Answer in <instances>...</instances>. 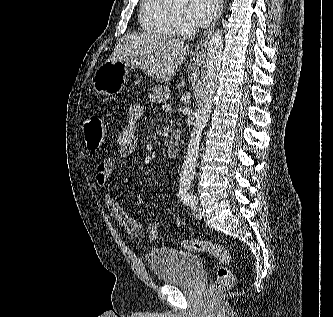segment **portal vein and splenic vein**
I'll list each match as a JSON object with an SVG mask.
<instances>
[{"label": "portal vein and splenic vein", "mask_w": 333, "mask_h": 317, "mask_svg": "<svg viewBox=\"0 0 333 317\" xmlns=\"http://www.w3.org/2000/svg\"><path fill=\"white\" fill-rule=\"evenodd\" d=\"M162 109L163 110H170L171 109V105L170 104H164L163 106H162Z\"/></svg>", "instance_id": "obj_1"}]
</instances>
